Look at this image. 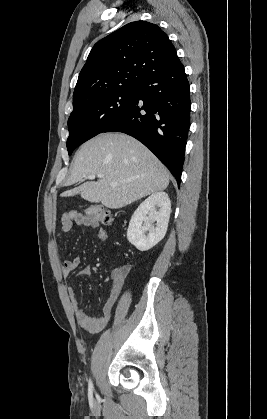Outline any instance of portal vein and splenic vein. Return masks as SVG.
Returning <instances> with one entry per match:
<instances>
[{"mask_svg":"<svg viewBox=\"0 0 267 419\" xmlns=\"http://www.w3.org/2000/svg\"><path fill=\"white\" fill-rule=\"evenodd\" d=\"M96 176L98 177V178H102L104 175L103 174H98V175H89V176H87V178L88 179H90V180H93V179H95L96 178ZM118 185V183L117 182H112L111 183V186H113V187H115V186H117Z\"/></svg>","mask_w":267,"mask_h":419,"instance_id":"portal-vein-and-splenic-vein-1","label":"portal vein and splenic vein"}]
</instances>
